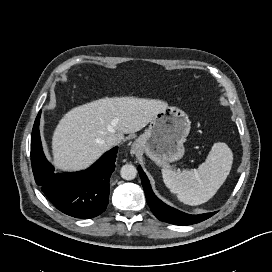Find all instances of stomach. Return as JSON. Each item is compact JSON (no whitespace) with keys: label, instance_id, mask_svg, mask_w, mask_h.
<instances>
[{"label":"stomach","instance_id":"1","mask_svg":"<svg viewBox=\"0 0 272 272\" xmlns=\"http://www.w3.org/2000/svg\"><path fill=\"white\" fill-rule=\"evenodd\" d=\"M191 128L188 115L177 107H167L158 112L145 132L138 137L134 148L145 152L158 166L181 159L185 149L183 143Z\"/></svg>","mask_w":272,"mask_h":272}]
</instances>
